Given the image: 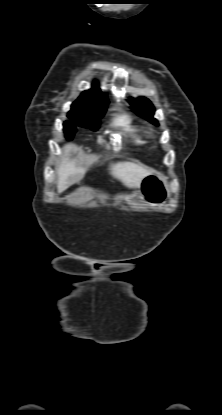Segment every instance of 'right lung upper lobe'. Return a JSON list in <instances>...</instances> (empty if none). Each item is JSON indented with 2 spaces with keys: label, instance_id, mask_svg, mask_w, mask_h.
<instances>
[{
  "label": "right lung upper lobe",
  "instance_id": "right-lung-upper-lobe-1",
  "mask_svg": "<svg viewBox=\"0 0 222 415\" xmlns=\"http://www.w3.org/2000/svg\"><path fill=\"white\" fill-rule=\"evenodd\" d=\"M106 94L101 92L97 85L81 93L79 98L72 104V108H83L93 111H101L107 106Z\"/></svg>",
  "mask_w": 222,
  "mask_h": 415
}]
</instances>
